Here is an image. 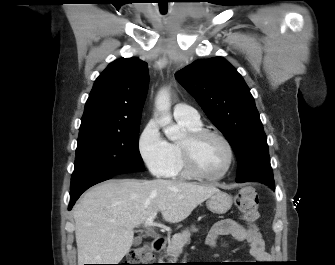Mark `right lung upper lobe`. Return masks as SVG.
<instances>
[{
  "mask_svg": "<svg viewBox=\"0 0 335 265\" xmlns=\"http://www.w3.org/2000/svg\"><path fill=\"white\" fill-rule=\"evenodd\" d=\"M148 81L147 63L138 58L110 63L93 85L79 131L120 129L140 121Z\"/></svg>",
  "mask_w": 335,
  "mask_h": 265,
  "instance_id": "right-lung-upper-lobe-1",
  "label": "right lung upper lobe"
}]
</instances>
